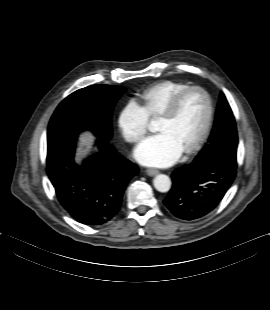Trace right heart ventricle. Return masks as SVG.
Segmentation results:
<instances>
[{
    "mask_svg": "<svg viewBox=\"0 0 270 310\" xmlns=\"http://www.w3.org/2000/svg\"><path fill=\"white\" fill-rule=\"evenodd\" d=\"M188 86V84L178 81L156 83L140 94L142 106L150 118H155L159 116L176 93Z\"/></svg>",
    "mask_w": 270,
    "mask_h": 310,
    "instance_id": "e07e8e85",
    "label": "right heart ventricle"
}]
</instances>
